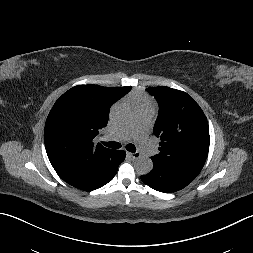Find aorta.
Listing matches in <instances>:
<instances>
[{
  "instance_id": "aorta-1",
  "label": "aorta",
  "mask_w": 253,
  "mask_h": 253,
  "mask_svg": "<svg viewBox=\"0 0 253 253\" xmlns=\"http://www.w3.org/2000/svg\"><path fill=\"white\" fill-rule=\"evenodd\" d=\"M133 116V109L127 103H120L112 110V118L117 123H126ZM135 170L140 175H146L153 169V162L150 158L139 157L134 163Z\"/></svg>"
}]
</instances>
